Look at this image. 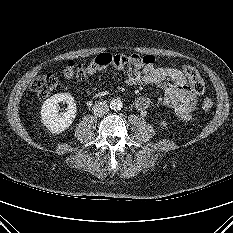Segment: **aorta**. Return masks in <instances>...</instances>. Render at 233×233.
Here are the masks:
<instances>
[{
    "label": "aorta",
    "instance_id": "aorta-1",
    "mask_svg": "<svg viewBox=\"0 0 233 233\" xmlns=\"http://www.w3.org/2000/svg\"><path fill=\"white\" fill-rule=\"evenodd\" d=\"M123 107V103L121 100L119 99H113L110 102V108L114 111H118L121 110V108Z\"/></svg>",
    "mask_w": 233,
    "mask_h": 233
}]
</instances>
